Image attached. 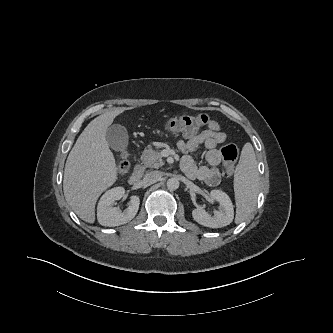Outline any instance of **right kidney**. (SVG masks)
Returning <instances> with one entry per match:
<instances>
[{
  "label": "right kidney",
  "instance_id": "right-kidney-1",
  "mask_svg": "<svg viewBox=\"0 0 333 333\" xmlns=\"http://www.w3.org/2000/svg\"><path fill=\"white\" fill-rule=\"evenodd\" d=\"M125 194L123 187H116L108 190L100 199L97 206V219L102 226L115 227L131 221L138 212L140 199L134 195L130 197V204L123 212L113 207L116 200Z\"/></svg>",
  "mask_w": 333,
  "mask_h": 333
}]
</instances>
